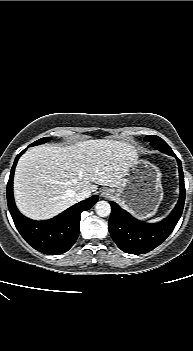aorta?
Listing matches in <instances>:
<instances>
[{
    "instance_id": "obj_1",
    "label": "aorta",
    "mask_w": 193,
    "mask_h": 351,
    "mask_svg": "<svg viewBox=\"0 0 193 351\" xmlns=\"http://www.w3.org/2000/svg\"><path fill=\"white\" fill-rule=\"evenodd\" d=\"M95 211L98 216L106 217L111 213V206L107 201H98L95 205Z\"/></svg>"
}]
</instances>
